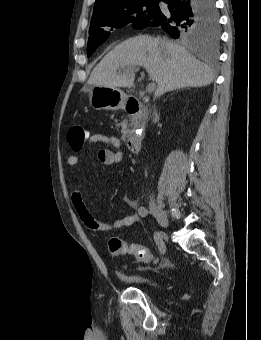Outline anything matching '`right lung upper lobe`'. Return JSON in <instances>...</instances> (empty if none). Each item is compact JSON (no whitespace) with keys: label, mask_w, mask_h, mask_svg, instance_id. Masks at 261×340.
<instances>
[{"label":"right lung upper lobe","mask_w":261,"mask_h":340,"mask_svg":"<svg viewBox=\"0 0 261 340\" xmlns=\"http://www.w3.org/2000/svg\"><path fill=\"white\" fill-rule=\"evenodd\" d=\"M144 0H96L91 21L99 20L121 7Z\"/></svg>","instance_id":"cb5924a9"}]
</instances>
